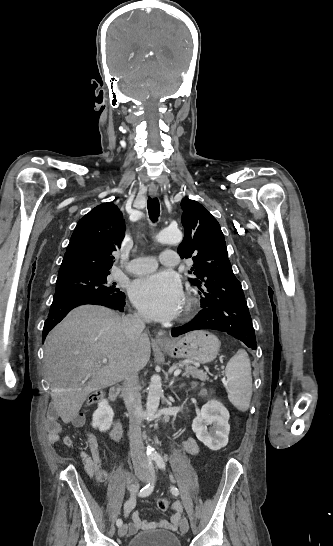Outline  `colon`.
<instances>
[{"label":"colon","mask_w":333,"mask_h":546,"mask_svg":"<svg viewBox=\"0 0 333 546\" xmlns=\"http://www.w3.org/2000/svg\"><path fill=\"white\" fill-rule=\"evenodd\" d=\"M101 397H102V393H101V392H95V393L91 394V395L89 396V398H88V404H89V405H92V404L98 402V401L101 399ZM157 507H158V509L161 510V511H166V510H168V508H169V502H168V500L165 499V498L159 499V500L157 501Z\"/></svg>","instance_id":"colon-1"}]
</instances>
